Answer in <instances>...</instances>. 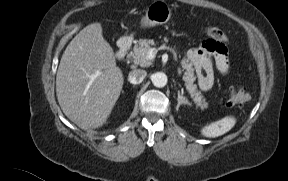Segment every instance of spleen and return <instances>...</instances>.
I'll list each match as a JSON object with an SVG mask.
<instances>
[{
  "label": "spleen",
  "instance_id": "obj_1",
  "mask_svg": "<svg viewBox=\"0 0 288 181\" xmlns=\"http://www.w3.org/2000/svg\"><path fill=\"white\" fill-rule=\"evenodd\" d=\"M236 124L233 116H226L202 128L201 134L205 137L215 138L230 131Z\"/></svg>",
  "mask_w": 288,
  "mask_h": 181
}]
</instances>
